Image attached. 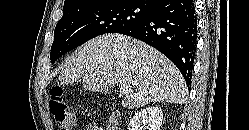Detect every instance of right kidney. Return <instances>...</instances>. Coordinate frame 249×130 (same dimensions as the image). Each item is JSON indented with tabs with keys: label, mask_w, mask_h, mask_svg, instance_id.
Listing matches in <instances>:
<instances>
[{
	"label": "right kidney",
	"mask_w": 249,
	"mask_h": 130,
	"mask_svg": "<svg viewBox=\"0 0 249 130\" xmlns=\"http://www.w3.org/2000/svg\"><path fill=\"white\" fill-rule=\"evenodd\" d=\"M163 120V112L158 106H148L135 113L128 124L129 130H141L148 125V130H160Z\"/></svg>",
	"instance_id": "obj_1"
}]
</instances>
